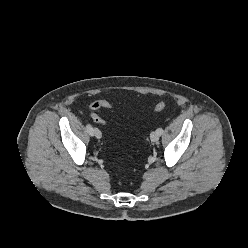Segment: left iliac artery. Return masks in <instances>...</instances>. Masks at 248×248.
<instances>
[{"label": "left iliac artery", "mask_w": 248, "mask_h": 248, "mask_svg": "<svg viewBox=\"0 0 248 248\" xmlns=\"http://www.w3.org/2000/svg\"><path fill=\"white\" fill-rule=\"evenodd\" d=\"M156 131L159 135H162L164 132L162 128H158Z\"/></svg>", "instance_id": "1"}]
</instances>
